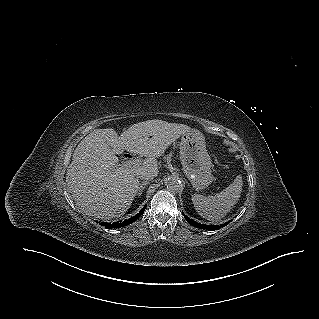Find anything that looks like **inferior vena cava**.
Returning a JSON list of instances; mask_svg holds the SVG:
<instances>
[{
	"mask_svg": "<svg viewBox=\"0 0 319 319\" xmlns=\"http://www.w3.org/2000/svg\"><path fill=\"white\" fill-rule=\"evenodd\" d=\"M156 176V172L154 170H143L137 173L136 177L142 180H149Z\"/></svg>",
	"mask_w": 319,
	"mask_h": 319,
	"instance_id": "1",
	"label": "inferior vena cava"
}]
</instances>
